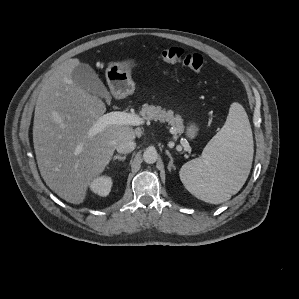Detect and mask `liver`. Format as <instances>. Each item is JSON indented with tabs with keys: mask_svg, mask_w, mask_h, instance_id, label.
Masks as SVG:
<instances>
[{
	"mask_svg": "<svg viewBox=\"0 0 299 299\" xmlns=\"http://www.w3.org/2000/svg\"><path fill=\"white\" fill-rule=\"evenodd\" d=\"M79 63L77 58L68 59L48 78L36 101L33 124L40 174L54 193L72 204L85 200L88 187L105 170L117 144L135 139L130 125H109L90 135L106 106L73 82L71 73Z\"/></svg>",
	"mask_w": 299,
	"mask_h": 299,
	"instance_id": "obj_1",
	"label": "liver"
}]
</instances>
